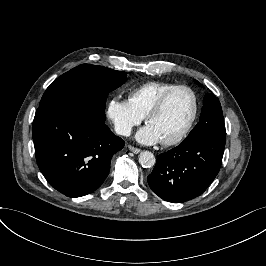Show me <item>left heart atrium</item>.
<instances>
[{"mask_svg":"<svg viewBox=\"0 0 266 266\" xmlns=\"http://www.w3.org/2000/svg\"><path fill=\"white\" fill-rule=\"evenodd\" d=\"M137 139L145 144H153L161 141L160 136L149 123L137 132Z\"/></svg>","mask_w":266,"mask_h":266,"instance_id":"39dd6f15","label":"left heart atrium"}]
</instances>
